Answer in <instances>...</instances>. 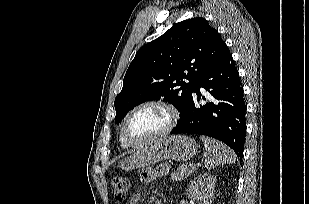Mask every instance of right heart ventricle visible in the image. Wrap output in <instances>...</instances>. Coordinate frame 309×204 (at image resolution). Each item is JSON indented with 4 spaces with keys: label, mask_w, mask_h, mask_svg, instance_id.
<instances>
[{
    "label": "right heart ventricle",
    "mask_w": 309,
    "mask_h": 204,
    "mask_svg": "<svg viewBox=\"0 0 309 204\" xmlns=\"http://www.w3.org/2000/svg\"><path fill=\"white\" fill-rule=\"evenodd\" d=\"M120 142H121V145L123 146V147H128L129 145L124 141V139L122 138V136H121V138H120Z\"/></svg>",
    "instance_id": "obj_1"
}]
</instances>
